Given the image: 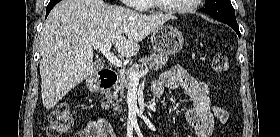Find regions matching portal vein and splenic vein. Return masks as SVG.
I'll use <instances>...</instances> for the list:
<instances>
[{"label": "portal vein and splenic vein", "mask_w": 280, "mask_h": 137, "mask_svg": "<svg viewBox=\"0 0 280 137\" xmlns=\"http://www.w3.org/2000/svg\"><path fill=\"white\" fill-rule=\"evenodd\" d=\"M94 48L99 49L103 56L114 66L122 68V72H126L128 74L130 82H139L140 78L144 75H146L149 70H141L139 72L133 71L131 69L125 70V67H123L122 61L118 59L117 56H115L113 53L110 52V49L112 47V43H93Z\"/></svg>", "instance_id": "obj_1"}]
</instances>
